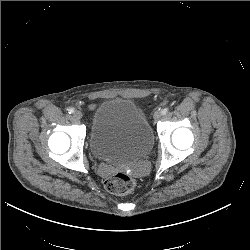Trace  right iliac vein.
<instances>
[{
	"mask_svg": "<svg viewBox=\"0 0 250 250\" xmlns=\"http://www.w3.org/2000/svg\"><path fill=\"white\" fill-rule=\"evenodd\" d=\"M82 113L80 111H75L74 114H73V117L76 119V120H80L82 118Z\"/></svg>",
	"mask_w": 250,
	"mask_h": 250,
	"instance_id": "right-iliac-vein-1",
	"label": "right iliac vein"
}]
</instances>
